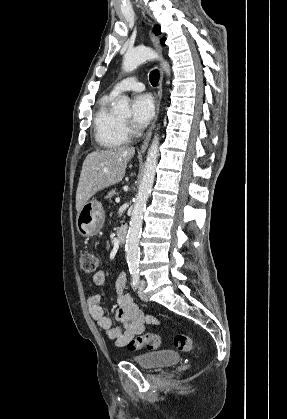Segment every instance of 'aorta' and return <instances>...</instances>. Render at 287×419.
<instances>
[{
	"label": "aorta",
	"mask_w": 287,
	"mask_h": 419,
	"mask_svg": "<svg viewBox=\"0 0 287 419\" xmlns=\"http://www.w3.org/2000/svg\"><path fill=\"white\" fill-rule=\"evenodd\" d=\"M158 59V54L149 47H136L128 50L122 63L124 72H131L136 69L142 62L146 60ZM165 71L169 74L167 62H163ZM115 112L129 115V99L127 96H122L119 102L114 107ZM159 155V137L154 136L152 144L148 150V155L145 162L144 173L139 185V190L134 200L133 211L130 220V226L126 237L125 252L126 259L131 271L138 270L140 261L139 241L142 231L143 215L146 210V204L153 188V183L156 174V166Z\"/></svg>",
	"instance_id": "obj_1"
}]
</instances>
